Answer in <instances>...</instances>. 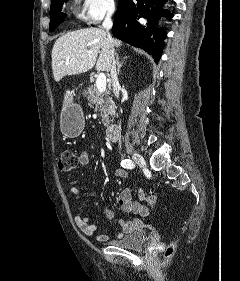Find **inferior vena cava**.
Wrapping results in <instances>:
<instances>
[{"instance_id":"1","label":"inferior vena cava","mask_w":240,"mask_h":281,"mask_svg":"<svg viewBox=\"0 0 240 281\" xmlns=\"http://www.w3.org/2000/svg\"><path fill=\"white\" fill-rule=\"evenodd\" d=\"M114 7H110L107 11L106 18L102 24L103 28L107 32V37L110 42V59H111V78H112V87H113V92L115 96L118 98L119 97V89H120V84L117 76V71H116V60H115V49L113 45V39L109 33V30L112 28L113 22L111 19L112 14L114 13Z\"/></svg>"}]
</instances>
